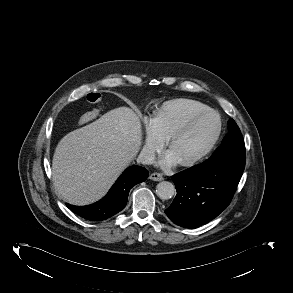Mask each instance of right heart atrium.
<instances>
[{
    "instance_id": "d8ad5b80",
    "label": "right heart atrium",
    "mask_w": 293,
    "mask_h": 293,
    "mask_svg": "<svg viewBox=\"0 0 293 293\" xmlns=\"http://www.w3.org/2000/svg\"><path fill=\"white\" fill-rule=\"evenodd\" d=\"M143 127L145 138L142 156L145 161L151 162L156 153L163 147L165 139L158 133L151 117L143 118Z\"/></svg>"
}]
</instances>
